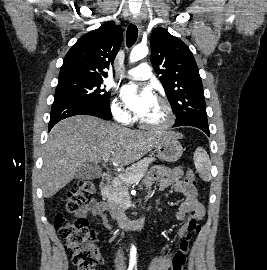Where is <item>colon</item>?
I'll return each mask as SVG.
<instances>
[{
    "instance_id": "1",
    "label": "colon",
    "mask_w": 267,
    "mask_h": 270,
    "mask_svg": "<svg viewBox=\"0 0 267 270\" xmlns=\"http://www.w3.org/2000/svg\"><path fill=\"white\" fill-rule=\"evenodd\" d=\"M184 182L195 186L196 176L192 169L186 171ZM95 192L96 184L93 180L77 182L63 198L66 210L70 213L76 212L82 204L93 197ZM54 224L67 254L78 270H94L98 261V251L95 245V234L88 227L87 220L82 218L69 220L63 214H58ZM199 230L198 220L191 219L188 224V234L172 256L171 270H184L192 237Z\"/></svg>"
}]
</instances>
